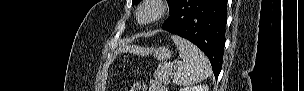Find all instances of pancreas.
<instances>
[{
  "mask_svg": "<svg viewBox=\"0 0 304 91\" xmlns=\"http://www.w3.org/2000/svg\"><path fill=\"white\" fill-rule=\"evenodd\" d=\"M172 75V69L167 65L158 66L157 70L155 71V77L164 84H167L169 82V79L172 77Z\"/></svg>",
  "mask_w": 304,
  "mask_h": 91,
  "instance_id": "1",
  "label": "pancreas"
}]
</instances>
